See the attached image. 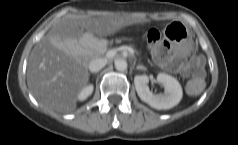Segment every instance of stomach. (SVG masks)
<instances>
[{
	"mask_svg": "<svg viewBox=\"0 0 238 145\" xmlns=\"http://www.w3.org/2000/svg\"><path fill=\"white\" fill-rule=\"evenodd\" d=\"M163 34L178 50L193 48V35L179 21H168L163 27Z\"/></svg>",
	"mask_w": 238,
	"mask_h": 145,
	"instance_id": "stomach-1",
	"label": "stomach"
}]
</instances>
